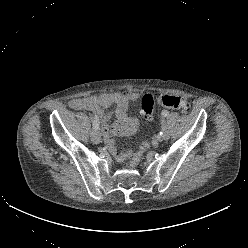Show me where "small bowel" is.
<instances>
[{
	"label": "small bowel",
	"instance_id": "small-bowel-1",
	"mask_svg": "<svg viewBox=\"0 0 248 248\" xmlns=\"http://www.w3.org/2000/svg\"><path fill=\"white\" fill-rule=\"evenodd\" d=\"M139 94L131 91L101 93L85 98L73 99L69 106L75 110L91 109L95 112L97 118L101 121L102 132L105 143L111 154L118 160L123 161L125 156L129 155L130 150L127 147L122 148L121 154H117V149L113 136L131 135L137 131L138 120L128 114V105L130 102L138 100ZM116 105L115 115L117 121L110 125V114L104 113L103 109Z\"/></svg>",
	"mask_w": 248,
	"mask_h": 248
}]
</instances>
